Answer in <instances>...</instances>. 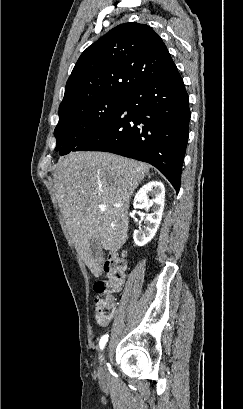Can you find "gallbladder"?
I'll list each match as a JSON object with an SVG mask.
<instances>
[{"mask_svg": "<svg viewBox=\"0 0 243 409\" xmlns=\"http://www.w3.org/2000/svg\"><path fill=\"white\" fill-rule=\"evenodd\" d=\"M91 252L92 256L96 259L102 258L103 256V249L99 242L91 241Z\"/></svg>", "mask_w": 243, "mask_h": 409, "instance_id": "obj_1", "label": "gallbladder"}]
</instances>
